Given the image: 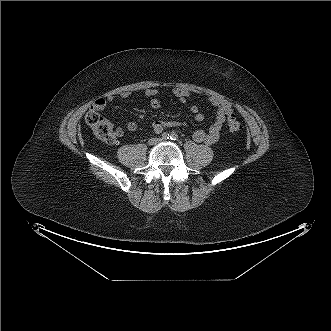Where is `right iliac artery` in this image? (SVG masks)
<instances>
[{
	"mask_svg": "<svg viewBox=\"0 0 331 331\" xmlns=\"http://www.w3.org/2000/svg\"><path fill=\"white\" fill-rule=\"evenodd\" d=\"M162 139H163V140H167V139H169V133L164 132V133L162 134Z\"/></svg>",
	"mask_w": 331,
	"mask_h": 331,
	"instance_id": "82829eb1",
	"label": "right iliac artery"
}]
</instances>
